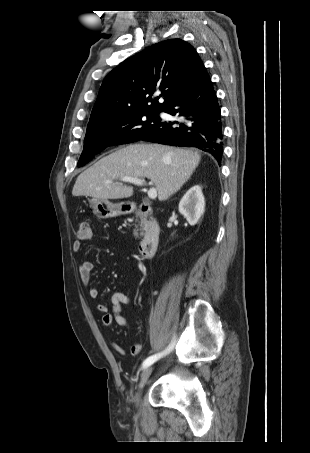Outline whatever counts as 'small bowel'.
I'll return each mask as SVG.
<instances>
[{"label": "small bowel", "instance_id": "c3829d8e", "mask_svg": "<svg viewBox=\"0 0 310 453\" xmlns=\"http://www.w3.org/2000/svg\"><path fill=\"white\" fill-rule=\"evenodd\" d=\"M90 238V237H89ZM82 249L81 240H76L73 243V251L80 252ZM93 269V263L89 260H84L79 265V275L81 283L87 287L88 296L91 299H96L99 296V291L95 286H90L91 272ZM129 297L121 292L116 291L112 293L110 297L111 310L104 303H98L96 308L97 311L102 315L101 322L106 328L111 327L114 323L118 326L124 327L128 324L127 318L122 314V306L129 304ZM113 350L120 355L125 354L124 348L118 343H111ZM142 346L139 343L134 344L131 347V354L137 356L140 354Z\"/></svg>", "mask_w": 310, "mask_h": 453}]
</instances>
